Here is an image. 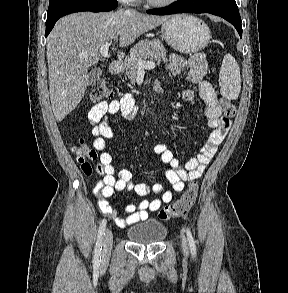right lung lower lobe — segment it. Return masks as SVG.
Masks as SVG:
<instances>
[{
  "mask_svg": "<svg viewBox=\"0 0 288 293\" xmlns=\"http://www.w3.org/2000/svg\"><path fill=\"white\" fill-rule=\"evenodd\" d=\"M117 4H98L93 2H78L70 5H66L52 13L47 14L46 21V32L45 36L47 37L52 28L54 27L56 21L70 13L81 12V11H91V12H104L111 11L117 7Z\"/></svg>",
  "mask_w": 288,
  "mask_h": 293,
  "instance_id": "1",
  "label": "right lung lower lobe"
}]
</instances>
